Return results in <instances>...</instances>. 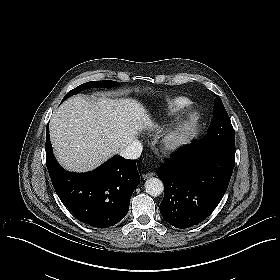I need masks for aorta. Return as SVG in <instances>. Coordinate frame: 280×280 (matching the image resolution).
I'll return each mask as SVG.
<instances>
[{"instance_id": "aorta-1", "label": "aorta", "mask_w": 280, "mask_h": 280, "mask_svg": "<svg viewBox=\"0 0 280 280\" xmlns=\"http://www.w3.org/2000/svg\"><path fill=\"white\" fill-rule=\"evenodd\" d=\"M144 186L146 192L153 197L161 195L164 190L163 182L159 178L155 177L147 179Z\"/></svg>"}]
</instances>
